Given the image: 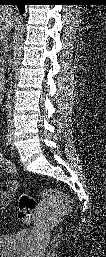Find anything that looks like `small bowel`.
<instances>
[{"mask_svg": "<svg viewBox=\"0 0 106 257\" xmlns=\"http://www.w3.org/2000/svg\"><path fill=\"white\" fill-rule=\"evenodd\" d=\"M0 167L3 172L13 176L1 188L0 207L4 209L10 204L13 195L18 189L19 183L16 168L10 161L1 159Z\"/></svg>", "mask_w": 106, "mask_h": 257, "instance_id": "1", "label": "small bowel"}]
</instances>
